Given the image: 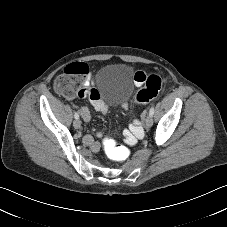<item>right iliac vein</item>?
<instances>
[{"mask_svg":"<svg viewBox=\"0 0 227 227\" xmlns=\"http://www.w3.org/2000/svg\"><path fill=\"white\" fill-rule=\"evenodd\" d=\"M73 126H74L75 129H80V127H81V122H80V120H75V121L73 122Z\"/></svg>","mask_w":227,"mask_h":227,"instance_id":"right-iliac-vein-1","label":"right iliac vein"}]
</instances>
